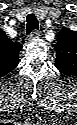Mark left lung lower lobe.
I'll return each mask as SVG.
<instances>
[{
    "mask_svg": "<svg viewBox=\"0 0 77 125\" xmlns=\"http://www.w3.org/2000/svg\"><path fill=\"white\" fill-rule=\"evenodd\" d=\"M56 68L60 72L66 74V75H73L76 72L74 67H69V66H65V65H58Z\"/></svg>",
    "mask_w": 77,
    "mask_h": 125,
    "instance_id": "1",
    "label": "left lung lower lobe"
}]
</instances>
